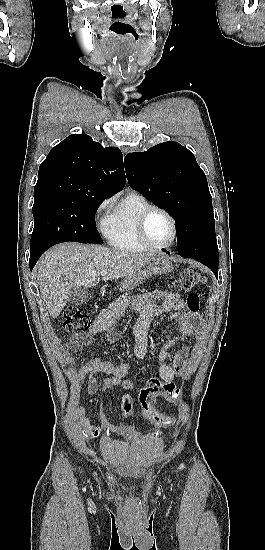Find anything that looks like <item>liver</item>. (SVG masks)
Masks as SVG:
<instances>
[{"instance_id": "obj_1", "label": "liver", "mask_w": 265, "mask_h": 550, "mask_svg": "<svg viewBox=\"0 0 265 550\" xmlns=\"http://www.w3.org/2000/svg\"><path fill=\"white\" fill-rule=\"evenodd\" d=\"M151 254H130L101 245L62 243L47 251L36 265L42 299L52 318H57L73 287H94L100 282L130 279L147 263Z\"/></svg>"}]
</instances>
